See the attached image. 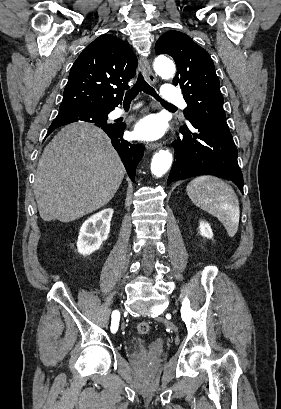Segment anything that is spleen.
Instances as JSON below:
<instances>
[{
    "instance_id": "spleen-1",
    "label": "spleen",
    "mask_w": 281,
    "mask_h": 409,
    "mask_svg": "<svg viewBox=\"0 0 281 409\" xmlns=\"http://www.w3.org/2000/svg\"><path fill=\"white\" fill-rule=\"evenodd\" d=\"M186 190L196 207L217 217L229 237L236 235L240 219L239 200L230 184L217 176H196L187 184Z\"/></svg>"
}]
</instances>
